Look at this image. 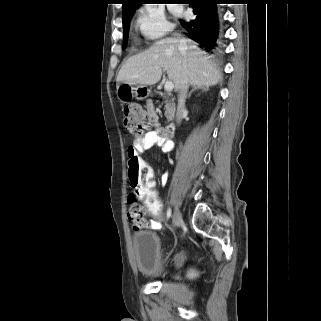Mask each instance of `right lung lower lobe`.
<instances>
[{"label":"right lung lower lobe","instance_id":"obj_1","mask_svg":"<svg viewBox=\"0 0 321 321\" xmlns=\"http://www.w3.org/2000/svg\"><path fill=\"white\" fill-rule=\"evenodd\" d=\"M195 18L179 20L188 37L201 44L207 51L217 47L219 20L216 4L221 0H189Z\"/></svg>","mask_w":321,"mask_h":321}]
</instances>
